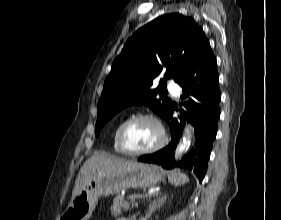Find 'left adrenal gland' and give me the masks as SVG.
I'll return each mask as SVG.
<instances>
[{"mask_svg":"<svg viewBox=\"0 0 281 220\" xmlns=\"http://www.w3.org/2000/svg\"><path fill=\"white\" fill-rule=\"evenodd\" d=\"M153 197H156L150 204L149 209L146 211V218H149L153 212L156 211L157 208H159L165 201L167 196L166 195H158L154 194Z\"/></svg>","mask_w":281,"mask_h":220,"instance_id":"1","label":"left adrenal gland"}]
</instances>
